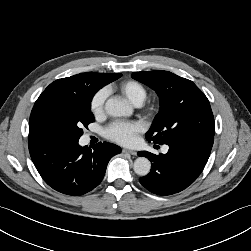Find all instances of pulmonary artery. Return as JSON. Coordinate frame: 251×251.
<instances>
[{
  "label": "pulmonary artery",
  "mask_w": 251,
  "mask_h": 251,
  "mask_svg": "<svg viewBox=\"0 0 251 251\" xmlns=\"http://www.w3.org/2000/svg\"><path fill=\"white\" fill-rule=\"evenodd\" d=\"M167 150H168V148H167V147H164V148H163V151H164V152H166Z\"/></svg>",
  "instance_id": "pulmonary-artery-1"
}]
</instances>
